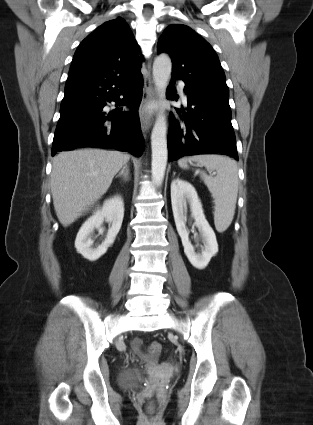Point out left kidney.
I'll use <instances>...</instances> for the list:
<instances>
[{"label": "left kidney", "instance_id": "obj_1", "mask_svg": "<svg viewBox=\"0 0 313 425\" xmlns=\"http://www.w3.org/2000/svg\"><path fill=\"white\" fill-rule=\"evenodd\" d=\"M171 203L184 253L195 268L202 270L218 252V244L213 229L205 219L202 204L195 188L189 182L180 179L173 180L171 183ZM187 204L190 206L191 216L195 220L194 225L198 228L204 244V250L201 254L195 252L193 245L189 241V233L185 225L187 221Z\"/></svg>", "mask_w": 313, "mask_h": 425}]
</instances>
